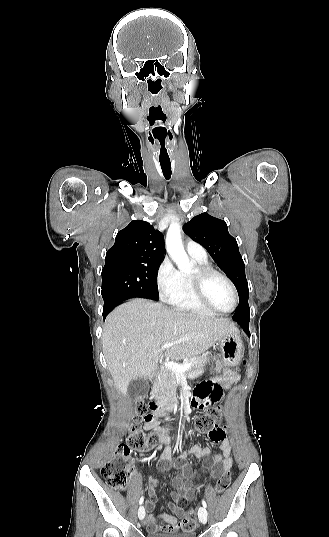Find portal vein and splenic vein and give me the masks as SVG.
Segmentation results:
<instances>
[{"mask_svg": "<svg viewBox=\"0 0 329 537\" xmlns=\"http://www.w3.org/2000/svg\"><path fill=\"white\" fill-rule=\"evenodd\" d=\"M175 343L173 342H170V343H164L161 348L165 349V348H170L174 345ZM165 365L170 368L171 370H173L174 372L176 373H179V374H182L183 372L187 371L188 369L191 368V363H186V364H178V363H175L173 361H167L165 363Z\"/></svg>", "mask_w": 329, "mask_h": 537, "instance_id": "1", "label": "portal vein and splenic vein"}]
</instances>
